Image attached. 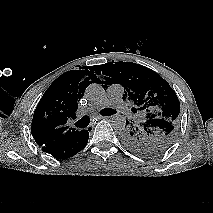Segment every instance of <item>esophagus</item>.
Segmentation results:
<instances>
[{
    "label": "esophagus",
    "mask_w": 213,
    "mask_h": 213,
    "mask_svg": "<svg viewBox=\"0 0 213 213\" xmlns=\"http://www.w3.org/2000/svg\"><path fill=\"white\" fill-rule=\"evenodd\" d=\"M104 118H106V117H104V116H97L96 120H101V119H104ZM91 128H93V124L90 125L87 129L90 130Z\"/></svg>",
    "instance_id": "obj_1"
}]
</instances>
